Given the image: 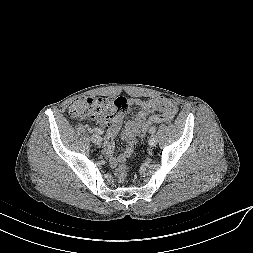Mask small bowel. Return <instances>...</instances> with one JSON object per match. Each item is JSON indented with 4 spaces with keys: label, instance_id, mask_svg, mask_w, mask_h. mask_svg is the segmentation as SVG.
Masks as SVG:
<instances>
[{
    "label": "small bowel",
    "instance_id": "1",
    "mask_svg": "<svg viewBox=\"0 0 253 253\" xmlns=\"http://www.w3.org/2000/svg\"><path fill=\"white\" fill-rule=\"evenodd\" d=\"M128 104L131 107L138 108V112L132 120L125 123V127L122 132V139L126 142V145L119 155L114 156L113 154L115 148L114 138L123 125L124 115L118 117L111 124L105 135L103 151L108 156L111 167H116L118 164L125 162L126 159L131 156L139 132L152 118L174 116L178 111V106L174 100L162 96L147 100L133 98L129 100ZM154 113L157 114L152 115Z\"/></svg>",
    "mask_w": 253,
    "mask_h": 253
}]
</instances>
